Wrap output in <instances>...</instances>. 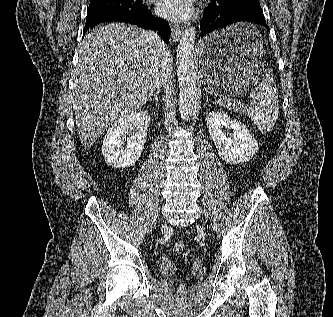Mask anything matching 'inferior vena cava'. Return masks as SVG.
<instances>
[{
	"mask_svg": "<svg viewBox=\"0 0 333 317\" xmlns=\"http://www.w3.org/2000/svg\"><path fill=\"white\" fill-rule=\"evenodd\" d=\"M166 49L163 43V49L161 51V56H159L157 65H156V83L155 88L159 89V87L165 82L167 79V67L168 60L166 58Z\"/></svg>",
	"mask_w": 333,
	"mask_h": 317,
	"instance_id": "inferior-vena-cava-1",
	"label": "inferior vena cava"
}]
</instances>
